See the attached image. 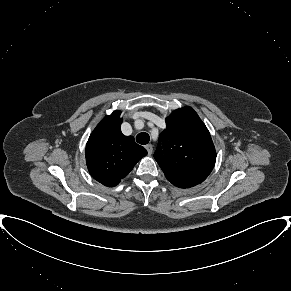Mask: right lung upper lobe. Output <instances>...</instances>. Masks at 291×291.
Returning a JSON list of instances; mask_svg holds the SVG:
<instances>
[{"mask_svg":"<svg viewBox=\"0 0 291 291\" xmlns=\"http://www.w3.org/2000/svg\"><path fill=\"white\" fill-rule=\"evenodd\" d=\"M120 111L106 116L94 129L86 145V164L92 177L113 187L126 177L147 151L132 136L122 134Z\"/></svg>","mask_w":291,"mask_h":291,"instance_id":"1","label":"right lung upper lobe"}]
</instances>
